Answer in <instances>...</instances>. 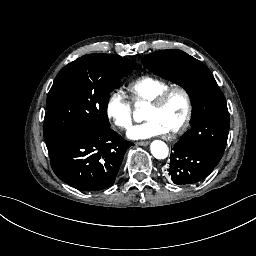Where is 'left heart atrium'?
Segmentation results:
<instances>
[{
    "label": "left heart atrium",
    "mask_w": 256,
    "mask_h": 256,
    "mask_svg": "<svg viewBox=\"0 0 256 256\" xmlns=\"http://www.w3.org/2000/svg\"><path fill=\"white\" fill-rule=\"evenodd\" d=\"M143 129L149 135H166L170 124L163 116L155 114L143 123Z\"/></svg>",
    "instance_id": "left-heart-atrium-1"
}]
</instances>
